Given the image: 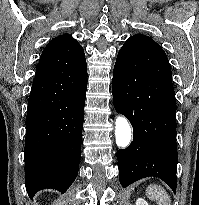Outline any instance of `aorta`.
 <instances>
[{"mask_svg": "<svg viewBox=\"0 0 199 205\" xmlns=\"http://www.w3.org/2000/svg\"><path fill=\"white\" fill-rule=\"evenodd\" d=\"M130 124L125 117L118 116L115 121L116 144L120 148H126L131 141Z\"/></svg>", "mask_w": 199, "mask_h": 205, "instance_id": "762f6f07", "label": "aorta"}]
</instances>
